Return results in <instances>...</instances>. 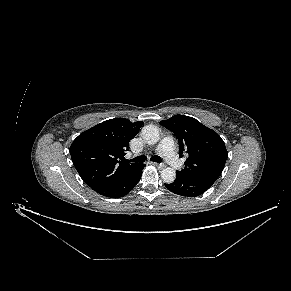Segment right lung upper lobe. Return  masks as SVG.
Instances as JSON below:
<instances>
[{
  "mask_svg": "<svg viewBox=\"0 0 291 291\" xmlns=\"http://www.w3.org/2000/svg\"><path fill=\"white\" fill-rule=\"evenodd\" d=\"M143 122L125 118L104 121L81 133L70 146L72 162L92 189L133 172L139 164L125 162L129 141Z\"/></svg>",
  "mask_w": 291,
  "mask_h": 291,
  "instance_id": "obj_1",
  "label": "right lung upper lobe"
}]
</instances>
